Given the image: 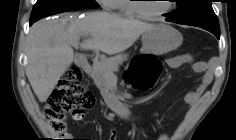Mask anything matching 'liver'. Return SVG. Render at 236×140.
Masks as SVG:
<instances>
[{"instance_id": "6515ba94", "label": "liver", "mask_w": 236, "mask_h": 140, "mask_svg": "<svg viewBox=\"0 0 236 140\" xmlns=\"http://www.w3.org/2000/svg\"><path fill=\"white\" fill-rule=\"evenodd\" d=\"M155 25L127 19L107 12H92L72 24L66 16L55 20L42 19L30 28L26 42V76L40 102H45L60 77L74 59L72 46L81 36L84 50L108 55L121 53ZM77 46V45H74Z\"/></svg>"}]
</instances>
